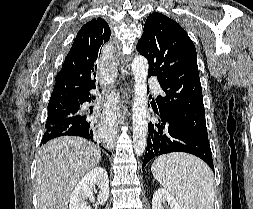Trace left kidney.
<instances>
[{
	"mask_svg": "<svg viewBox=\"0 0 253 209\" xmlns=\"http://www.w3.org/2000/svg\"><path fill=\"white\" fill-rule=\"evenodd\" d=\"M165 204H168L170 209H183L167 190L159 188L153 195L152 209H163Z\"/></svg>",
	"mask_w": 253,
	"mask_h": 209,
	"instance_id": "obj_1",
	"label": "left kidney"
}]
</instances>
